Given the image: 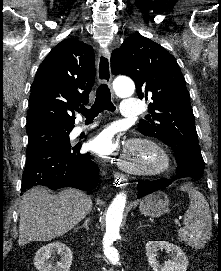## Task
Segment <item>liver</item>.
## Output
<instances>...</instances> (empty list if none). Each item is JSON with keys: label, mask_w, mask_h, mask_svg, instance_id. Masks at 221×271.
Here are the masks:
<instances>
[{"label": "liver", "mask_w": 221, "mask_h": 271, "mask_svg": "<svg viewBox=\"0 0 221 271\" xmlns=\"http://www.w3.org/2000/svg\"><path fill=\"white\" fill-rule=\"evenodd\" d=\"M92 205L91 197L74 187L56 195L48 187H31L21 197L18 245L64 235L86 217Z\"/></svg>", "instance_id": "liver-1"}]
</instances>
